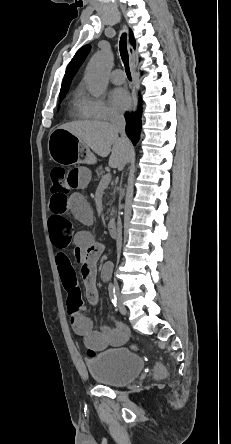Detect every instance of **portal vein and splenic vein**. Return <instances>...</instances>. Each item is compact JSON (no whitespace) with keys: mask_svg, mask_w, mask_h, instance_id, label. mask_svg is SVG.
<instances>
[{"mask_svg":"<svg viewBox=\"0 0 231 444\" xmlns=\"http://www.w3.org/2000/svg\"><path fill=\"white\" fill-rule=\"evenodd\" d=\"M111 173H107L105 175L102 176L100 182H99V186L100 187H107L111 181Z\"/></svg>","mask_w":231,"mask_h":444,"instance_id":"18ae733b","label":"portal vein and splenic vein"}]
</instances>
